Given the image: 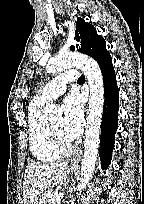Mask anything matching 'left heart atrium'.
<instances>
[{
  "label": "left heart atrium",
  "instance_id": "1",
  "mask_svg": "<svg viewBox=\"0 0 144 204\" xmlns=\"http://www.w3.org/2000/svg\"><path fill=\"white\" fill-rule=\"evenodd\" d=\"M63 132L69 139H76L83 127V104L76 95L68 96L63 102Z\"/></svg>",
  "mask_w": 144,
  "mask_h": 204
}]
</instances>
